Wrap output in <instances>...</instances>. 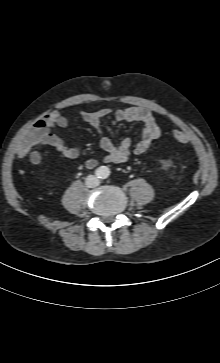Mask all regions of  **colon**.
Wrapping results in <instances>:
<instances>
[{
  "label": "colon",
  "instance_id": "obj_1",
  "mask_svg": "<svg viewBox=\"0 0 220 363\" xmlns=\"http://www.w3.org/2000/svg\"><path fill=\"white\" fill-rule=\"evenodd\" d=\"M170 134L172 139L177 143H186L188 141V136L183 131L174 129ZM40 136L41 133L39 132L35 135V139L38 140Z\"/></svg>",
  "mask_w": 220,
  "mask_h": 363
}]
</instances>
